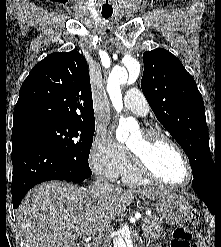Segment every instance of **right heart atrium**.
Here are the masks:
<instances>
[{"mask_svg": "<svg viewBox=\"0 0 221 247\" xmlns=\"http://www.w3.org/2000/svg\"><path fill=\"white\" fill-rule=\"evenodd\" d=\"M126 156L123 145L98 132L89 149V165L96 174L115 180L121 175Z\"/></svg>", "mask_w": 221, "mask_h": 247, "instance_id": "d8ad5b80", "label": "right heart atrium"}]
</instances>
